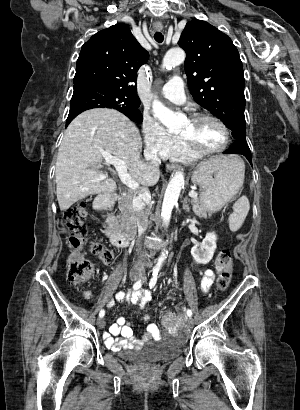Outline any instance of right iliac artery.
Listing matches in <instances>:
<instances>
[{
	"instance_id": "1",
	"label": "right iliac artery",
	"mask_w": 300,
	"mask_h": 410,
	"mask_svg": "<svg viewBox=\"0 0 300 410\" xmlns=\"http://www.w3.org/2000/svg\"><path fill=\"white\" fill-rule=\"evenodd\" d=\"M142 282H143V280L137 281V282L133 285V289H134V290L139 289V288L142 286ZM117 296H118V295H117ZM104 315H105V311H104V310H101L100 313H99V317H100V318H103Z\"/></svg>"
}]
</instances>
